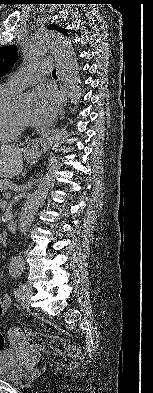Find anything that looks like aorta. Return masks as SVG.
I'll list each match as a JSON object with an SVG mask.
<instances>
[{
    "label": "aorta",
    "mask_w": 153,
    "mask_h": 393,
    "mask_svg": "<svg viewBox=\"0 0 153 393\" xmlns=\"http://www.w3.org/2000/svg\"><path fill=\"white\" fill-rule=\"evenodd\" d=\"M48 54L54 56L58 79L62 82L71 103L77 107L81 102L82 88L79 67L71 43L58 32L42 30L29 36L22 46V57L25 60H35ZM28 104V96L19 95L13 99L11 107L13 110H20ZM63 141L64 134L56 129L45 133L41 144L46 147H57ZM42 195L41 188L38 187L28 196L18 218V227L21 233H26L34 220L42 202ZM23 263L24 258L17 255L10 262L11 273L19 274L24 267Z\"/></svg>",
    "instance_id": "aorta-1"
}]
</instances>
